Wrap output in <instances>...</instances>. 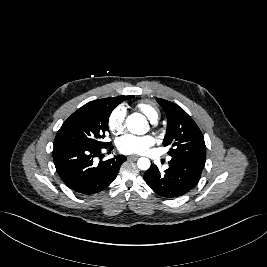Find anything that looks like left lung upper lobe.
Masks as SVG:
<instances>
[{
	"mask_svg": "<svg viewBox=\"0 0 267 267\" xmlns=\"http://www.w3.org/2000/svg\"><path fill=\"white\" fill-rule=\"evenodd\" d=\"M167 116V132L163 145H171L168 154L205 164L206 146L204 137L192 118L178 105L157 98Z\"/></svg>",
	"mask_w": 267,
	"mask_h": 267,
	"instance_id": "left-lung-upper-lobe-1",
	"label": "left lung upper lobe"
}]
</instances>
